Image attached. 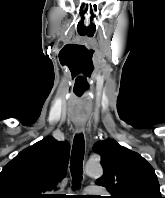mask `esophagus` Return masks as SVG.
I'll use <instances>...</instances> for the list:
<instances>
[{
    "mask_svg": "<svg viewBox=\"0 0 165 198\" xmlns=\"http://www.w3.org/2000/svg\"><path fill=\"white\" fill-rule=\"evenodd\" d=\"M75 129L78 134L83 133L85 131V124L84 123H76Z\"/></svg>",
    "mask_w": 165,
    "mask_h": 198,
    "instance_id": "34e87169",
    "label": "esophagus"
}]
</instances>
